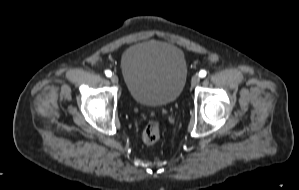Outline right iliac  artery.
I'll return each instance as SVG.
<instances>
[{
  "instance_id": "obj_1",
  "label": "right iliac artery",
  "mask_w": 299,
  "mask_h": 190,
  "mask_svg": "<svg viewBox=\"0 0 299 190\" xmlns=\"http://www.w3.org/2000/svg\"><path fill=\"white\" fill-rule=\"evenodd\" d=\"M105 74H106L107 77H111L112 72H111L110 70H107V71L105 72Z\"/></svg>"
}]
</instances>
